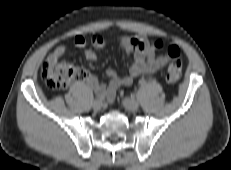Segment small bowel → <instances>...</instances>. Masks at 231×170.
<instances>
[{
	"instance_id": "1",
	"label": "small bowel",
	"mask_w": 231,
	"mask_h": 170,
	"mask_svg": "<svg viewBox=\"0 0 231 170\" xmlns=\"http://www.w3.org/2000/svg\"><path fill=\"white\" fill-rule=\"evenodd\" d=\"M118 41L126 56L131 60L128 73L120 76L114 69H108L106 72L109 78L108 84L100 83L95 76L88 73L84 79V82L91 90L104 94L109 102L114 100L119 87L131 85L136 77L153 73L166 66L169 61L166 55L155 54L156 49L152 46L153 42L145 35L121 36ZM91 43L95 48H102L105 45V39L100 33H96L92 36ZM74 44L76 48L83 50L85 59L88 61L96 60V53L92 49L86 48L87 41L84 36L77 35L74 39ZM66 51V46H58L47 57V62L57 63Z\"/></svg>"
}]
</instances>
